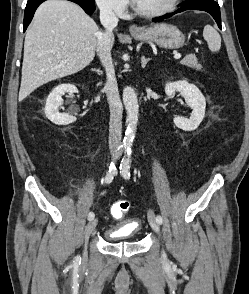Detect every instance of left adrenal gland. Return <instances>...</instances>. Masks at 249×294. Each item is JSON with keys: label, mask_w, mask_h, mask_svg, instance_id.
<instances>
[{"label": "left adrenal gland", "mask_w": 249, "mask_h": 294, "mask_svg": "<svg viewBox=\"0 0 249 294\" xmlns=\"http://www.w3.org/2000/svg\"><path fill=\"white\" fill-rule=\"evenodd\" d=\"M151 59L150 58H145V56H142L141 57V67L142 68H145L146 64L148 63V61H150Z\"/></svg>", "instance_id": "left-adrenal-gland-1"}]
</instances>
